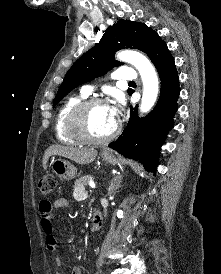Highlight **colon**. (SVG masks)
I'll list each match as a JSON object with an SVG mask.
<instances>
[{"instance_id":"obj_1","label":"colon","mask_w":221,"mask_h":274,"mask_svg":"<svg viewBox=\"0 0 221 274\" xmlns=\"http://www.w3.org/2000/svg\"><path fill=\"white\" fill-rule=\"evenodd\" d=\"M56 186V179L53 175H45L39 183V188L44 196L52 195Z\"/></svg>"}]
</instances>
